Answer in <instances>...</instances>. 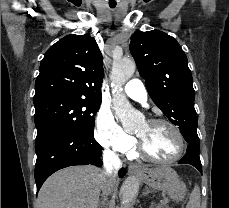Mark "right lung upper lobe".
Masks as SVG:
<instances>
[{"instance_id": "obj_1", "label": "right lung upper lobe", "mask_w": 229, "mask_h": 208, "mask_svg": "<svg viewBox=\"0 0 229 208\" xmlns=\"http://www.w3.org/2000/svg\"><path fill=\"white\" fill-rule=\"evenodd\" d=\"M102 54L89 34L65 36L51 46L40 64L34 101L52 95L101 101Z\"/></svg>"}]
</instances>
